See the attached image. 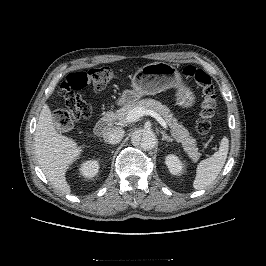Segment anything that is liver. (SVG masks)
<instances>
[{"mask_svg":"<svg viewBox=\"0 0 266 266\" xmlns=\"http://www.w3.org/2000/svg\"><path fill=\"white\" fill-rule=\"evenodd\" d=\"M37 162L52 186L62 194H70L66 171L82 153V146L57 132L51 110L44 104L34 135Z\"/></svg>","mask_w":266,"mask_h":266,"instance_id":"6515ba94","label":"liver"}]
</instances>
